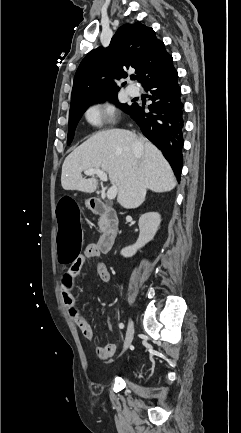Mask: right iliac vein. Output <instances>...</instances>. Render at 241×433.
<instances>
[{
    "label": "right iliac vein",
    "instance_id": "obj_1",
    "mask_svg": "<svg viewBox=\"0 0 241 433\" xmlns=\"http://www.w3.org/2000/svg\"><path fill=\"white\" fill-rule=\"evenodd\" d=\"M134 334L133 321L130 319L127 327L126 338L123 346V350L125 351L131 344Z\"/></svg>",
    "mask_w": 241,
    "mask_h": 433
}]
</instances>
